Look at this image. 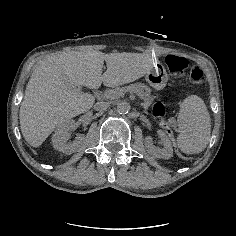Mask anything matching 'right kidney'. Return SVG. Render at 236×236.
Here are the masks:
<instances>
[{"mask_svg":"<svg viewBox=\"0 0 236 236\" xmlns=\"http://www.w3.org/2000/svg\"><path fill=\"white\" fill-rule=\"evenodd\" d=\"M74 121L67 120L52 136V145L54 149L61 151L65 154H72L80 152L85 147V136L78 134L72 143H67L69 131L73 129Z\"/></svg>","mask_w":236,"mask_h":236,"instance_id":"ca27d5eb","label":"right kidney"}]
</instances>
